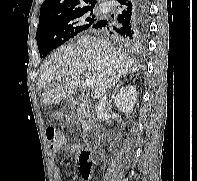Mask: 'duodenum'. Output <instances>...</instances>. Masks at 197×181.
<instances>
[{
	"label": "duodenum",
	"mask_w": 197,
	"mask_h": 181,
	"mask_svg": "<svg viewBox=\"0 0 197 181\" xmlns=\"http://www.w3.org/2000/svg\"><path fill=\"white\" fill-rule=\"evenodd\" d=\"M72 107L75 111H77L78 113L83 115V117L87 121L88 127L91 128L92 127L91 126L92 114L86 109V107L84 105H82L81 103H77V102H74ZM93 141H94V139H93Z\"/></svg>",
	"instance_id": "1"
}]
</instances>
